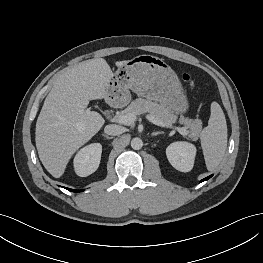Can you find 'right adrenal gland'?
<instances>
[{
	"label": "right adrenal gland",
	"mask_w": 263,
	"mask_h": 263,
	"mask_svg": "<svg viewBox=\"0 0 263 263\" xmlns=\"http://www.w3.org/2000/svg\"><path fill=\"white\" fill-rule=\"evenodd\" d=\"M104 137H106L107 139H110L111 137H109L108 135L106 134H102Z\"/></svg>",
	"instance_id": "1"
}]
</instances>
